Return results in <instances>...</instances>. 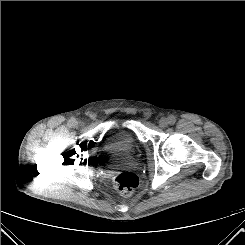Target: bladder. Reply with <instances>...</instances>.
<instances>
[{"label":"bladder","instance_id":"bladder-1","mask_svg":"<svg viewBox=\"0 0 245 245\" xmlns=\"http://www.w3.org/2000/svg\"><path fill=\"white\" fill-rule=\"evenodd\" d=\"M139 147V141L132 128H124L114 133L106 143V149L114 155H129Z\"/></svg>","mask_w":245,"mask_h":245}]
</instances>
